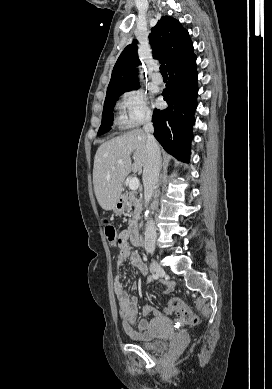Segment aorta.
I'll list each match as a JSON object with an SVG mask.
<instances>
[{"instance_id":"1","label":"aorta","mask_w":272,"mask_h":389,"mask_svg":"<svg viewBox=\"0 0 272 389\" xmlns=\"http://www.w3.org/2000/svg\"><path fill=\"white\" fill-rule=\"evenodd\" d=\"M148 213H149V211H148V210H146V212H145V217H147V216H148Z\"/></svg>"}]
</instances>
